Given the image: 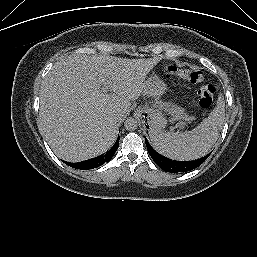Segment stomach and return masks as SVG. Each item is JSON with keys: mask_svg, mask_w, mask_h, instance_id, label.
Here are the masks:
<instances>
[{"mask_svg": "<svg viewBox=\"0 0 257 257\" xmlns=\"http://www.w3.org/2000/svg\"><path fill=\"white\" fill-rule=\"evenodd\" d=\"M168 90L167 84L157 76H151L145 80L144 95L147 96H161ZM139 115L148 124L151 130H161L165 127L167 119L159 112L149 109L141 108L138 110Z\"/></svg>", "mask_w": 257, "mask_h": 257, "instance_id": "0dacf381", "label": "stomach"}]
</instances>
